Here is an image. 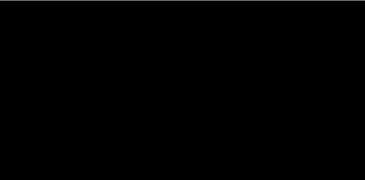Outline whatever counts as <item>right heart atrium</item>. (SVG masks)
I'll return each mask as SVG.
<instances>
[{
	"mask_svg": "<svg viewBox=\"0 0 365 180\" xmlns=\"http://www.w3.org/2000/svg\"><path fill=\"white\" fill-rule=\"evenodd\" d=\"M160 88L163 96L172 104H177L184 98V94L178 91L177 80L173 76L164 77Z\"/></svg>",
	"mask_w": 365,
	"mask_h": 180,
	"instance_id": "right-heart-atrium-1",
	"label": "right heart atrium"
}]
</instances>
